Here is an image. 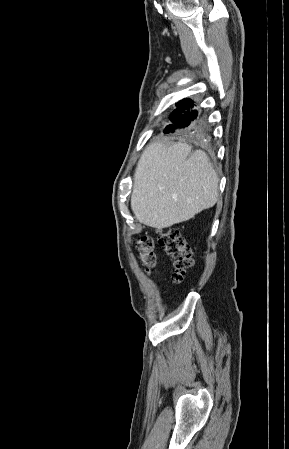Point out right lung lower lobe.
Listing matches in <instances>:
<instances>
[{"label":"right lung lower lobe","instance_id":"1","mask_svg":"<svg viewBox=\"0 0 289 449\" xmlns=\"http://www.w3.org/2000/svg\"><path fill=\"white\" fill-rule=\"evenodd\" d=\"M193 105V101L188 98L179 101L176 104L177 109L172 113V117L170 118L173 125H169L166 128H168L170 132L181 135L200 130L203 127V121L196 120L198 112L196 110H191ZM182 128L186 129L176 130Z\"/></svg>","mask_w":289,"mask_h":449}]
</instances>
